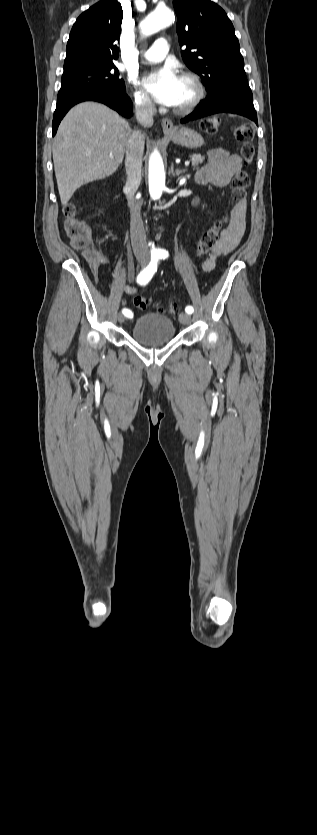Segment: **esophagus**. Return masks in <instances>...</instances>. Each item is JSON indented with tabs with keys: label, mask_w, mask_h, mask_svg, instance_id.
<instances>
[{
	"label": "esophagus",
	"mask_w": 317,
	"mask_h": 835,
	"mask_svg": "<svg viewBox=\"0 0 317 835\" xmlns=\"http://www.w3.org/2000/svg\"><path fill=\"white\" fill-rule=\"evenodd\" d=\"M161 124H162V128H163L164 133H171V132L175 131V126H174L172 120H170L169 118L162 119Z\"/></svg>",
	"instance_id": "34e87169"
}]
</instances>
